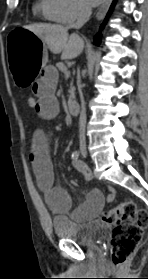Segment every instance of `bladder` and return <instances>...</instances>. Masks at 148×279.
I'll list each match as a JSON object with an SVG mask.
<instances>
[{"label":"bladder","mask_w":148,"mask_h":279,"mask_svg":"<svg viewBox=\"0 0 148 279\" xmlns=\"http://www.w3.org/2000/svg\"><path fill=\"white\" fill-rule=\"evenodd\" d=\"M52 226L58 238L70 240L82 246L95 245L109 232V225L101 220L77 223L69 217H54Z\"/></svg>","instance_id":"bladder-1"}]
</instances>
